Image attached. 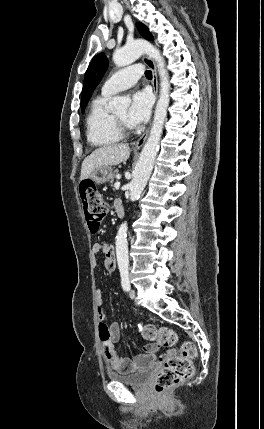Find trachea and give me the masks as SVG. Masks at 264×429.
<instances>
[{"instance_id": "1", "label": "trachea", "mask_w": 264, "mask_h": 429, "mask_svg": "<svg viewBox=\"0 0 264 429\" xmlns=\"http://www.w3.org/2000/svg\"><path fill=\"white\" fill-rule=\"evenodd\" d=\"M145 76H146L147 79H152V72L150 70H147L145 72Z\"/></svg>"}]
</instances>
